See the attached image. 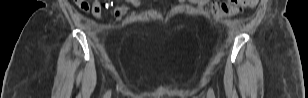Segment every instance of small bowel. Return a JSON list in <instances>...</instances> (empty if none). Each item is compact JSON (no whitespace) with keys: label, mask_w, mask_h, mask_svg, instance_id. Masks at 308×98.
<instances>
[{"label":"small bowel","mask_w":308,"mask_h":98,"mask_svg":"<svg viewBox=\"0 0 308 98\" xmlns=\"http://www.w3.org/2000/svg\"><path fill=\"white\" fill-rule=\"evenodd\" d=\"M178 2L180 4H183L186 1L185 0H179ZM188 2L193 4V5H195V6H198V7L204 6L206 4L205 0H189ZM129 3L131 5H133V6H135V7H140L141 6V1H139V0H129ZM255 5L256 4H253V5H250L249 7H253ZM89 8H90V3L88 4V7H87V9H85V11H87ZM91 11H92V14H93L94 18L98 22H102V20H103L102 19V8H101V4H100V2L98 0L92 1V3H91ZM120 11L122 12V9H120Z\"/></svg>","instance_id":"1"}]
</instances>
